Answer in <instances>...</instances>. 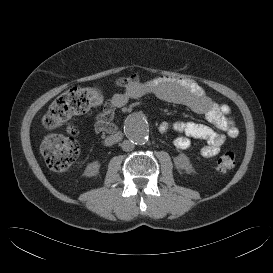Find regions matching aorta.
Returning <instances> with one entry per match:
<instances>
[{"mask_svg": "<svg viewBox=\"0 0 273 273\" xmlns=\"http://www.w3.org/2000/svg\"><path fill=\"white\" fill-rule=\"evenodd\" d=\"M125 131L132 142L137 145H144L149 140L148 126L141 118H131L125 126Z\"/></svg>", "mask_w": 273, "mask_h": 273, "instance_id": "762f6f07", "label": "aorta"}]
</instances>
